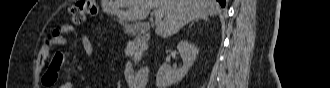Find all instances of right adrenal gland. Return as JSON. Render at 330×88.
<instances>
[{
  "label": "right adrenal gland",
  "mask_w": 330,
  "mask_h": 88,
  "mask_svg": "<svg viewBox=\"0 0 330 88\" xmlns=\"http://www.w3.org/2000/svg\"><path fill=\"white\" fill-rule=\"evenodd\" d=\"M199 19L208 21V17L207 16H204V17H201V18H198V19H195L194 21H192L191 24H190V26H192L194 24V22L198 21Z\"/></svg>",
  "instance_id": "right-adrenal-gland-1"
}]
</instances>
